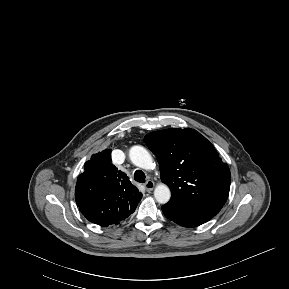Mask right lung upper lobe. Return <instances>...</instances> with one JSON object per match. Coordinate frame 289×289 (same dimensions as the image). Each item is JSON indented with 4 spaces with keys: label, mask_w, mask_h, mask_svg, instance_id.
Masks as SVG:
<instances>
[{
    "label": "right lung upper lobe",
    "mask_w": 289,
    "mask_h": 289,
    "mask_svg": "<svg viewBox=\"0 0 289 289\" xmlns=\"http://www.w3.org/2000/svg\"><path fill=\"white\" fill-rule=\"evenodd\" d=\"M111 152L105 149L84 165L78 176L75 196L81 213L92 223H114L135 211L142 193L127 175L111 163Z\"/></svg>",
    "instance_id": "cb5924a9"
}]
</instances>
